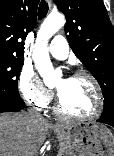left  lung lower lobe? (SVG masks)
<instances>
[{"label":"left lung lower lobe","instance_id":"left-lung-lower-lobe-1","mask_svg":"<svg viewBox=\"0 0 114 156\" xmlns=\"http://www.w3.org/2000/svg\"><path fill=\"white\" fill-rule=\"evenodd\" d=\"M98 122L105 123L114 127V119L101 117Z\"/></svg>","mask_w":114,"mask_h":156}]
</instances>
